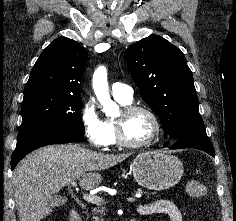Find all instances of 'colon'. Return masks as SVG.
Listing matches in <instances>:
<instances>
[{"label":"colon","mask_w":236,"mask_h":221,"mask_svg":"<svg viewBox=\"0 0 236 221\" xmlns=\"http://www.w3.org/2000/svg\"><path fill=\"white\" fill-rule=\"evenodd\" d=\"M186 192L189 197L199 199L205 196L206 189L199 181H189L186 185Z\"/></svg>","instance_id":"1"}]
</instances>
